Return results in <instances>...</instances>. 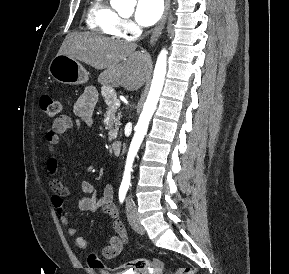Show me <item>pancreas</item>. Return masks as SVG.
I'll list each match as a JSON object with an SVG mask.
<instances>
[{
	"label": "pancreas",
	"mask_w": 289,
	"mask_h": 274,
	"mask_svg": "<svg viewBox=\"0 0 289 274\" xmlns=\"http://www.w3.org/2000/svg\"><path fill=\"white\" fill-rule=\"evenodd\" d=\"M102 96L104 97V102L109 107V109H112L115 112L118 108V106L115 105V101L117 100V94L115 90H113L111 87H104L102 88ZM114 123H115V129H111L110 132L108 133L109 141L117 137L118 125H119L118 118H114Z\"/></svg>",
	"instance_id": "obj_1"
}]
</instances>
